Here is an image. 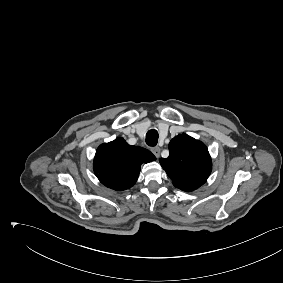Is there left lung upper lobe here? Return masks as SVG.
Returning a JSON list of instances; mask_svg holds the SVG:
<instances>
[{"mask_svg": "<svg viewBox=\"0 0 283 283\" xmlns=\"http://www.w3.org/2000/svg\"><path fill=\"white\" fill-rule=\"evenodd\" d=\"M159 162L173 185L186 192L202 186L212 170L205 144L187 134L175 136L169 144V157Z\"/></svg>", "mask_w": 283, "mask_h": 283, "instance_id": "left-lung-upper-lobe-1", "label": "left lung upper lobe"}]
</instances>
